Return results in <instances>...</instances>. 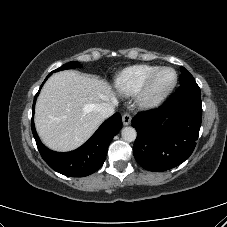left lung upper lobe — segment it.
I'll use <instances>...</instances> for the list:
<instances>
[{
  "label": "left lung upper lobe",
  "mask_w": 227,
  "mask_h": 227,
  "mask_svg": "<svg viewBox=\"0 0 227 227\" xmlns=\"http://www.w3.org/2000/svg\"><path fill=\"white\" fill-rule=\"evenodd\" d=\"M190 80H194L193 76L184 67H181L180 84Z\"/></svg>",
  "instance_id": "left-lung-upper-lobe-1"
}]
</instances>
